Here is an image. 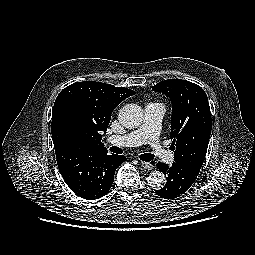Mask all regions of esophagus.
I'll list each match as a JSON object with an SVG mask.
<instances>
[{
  "mask_svg": "<svg viewBox=\"0 0 255 255\" xmlns=\"http://www.w3.org/2000/svg\"><path fill=\"white\" fill-rule=\"evenodd\" d=\"M140 164H141V166H142L144 169H147V170L153 169V164L150 163V162H141Z\"/></svg>",
  "mask_w": 255,
  "mask_h": 255,
  "instance_id": "1",
  "label": "esophagus"
}]
</instances>
